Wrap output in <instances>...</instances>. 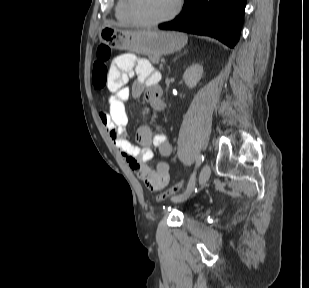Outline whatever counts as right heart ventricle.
<instances>
[{
    "label": "right heart ventricle",
    "mask_w": 309,
    "mask_h": 288,
    "mask_svg": "<svg viewBox=\"0 0 309 288\" xmlns=\"http://www.w3.org/2000/svg\"><path fill=\"white\" fill-rule=\"evenodd\" d=\"M115 16L122 24L129 25L132 23L125 13V0H117L115 6Z\"/></svg>",
    "instance_id": "right-heart-ventricle-1"
}]
</instances>
